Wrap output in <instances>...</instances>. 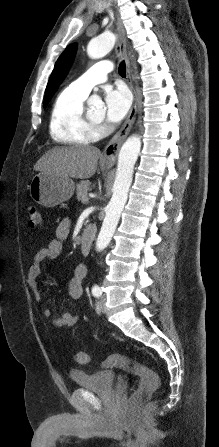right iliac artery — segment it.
I'll use <instances>...</instances> for the list:
<instances>
[{
  "instance_id": "obj_1",
  "label": "right iliac artery",
  "mask_w": 219,
  "mask_h": 447,
  "mask_svg": "<svg viewBox=\"0 0 219 447\" xmlns=\"http://www.w3.org/2000/svg\"><path fill=\"white\" fill-rule=\"evenodd\" d=\"M97 309L99 310V305H97Z\"/></svg>"
}]
</instances>
